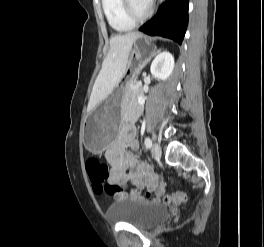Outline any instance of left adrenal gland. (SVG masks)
<instances>
[{"label": "left adrenal gland", "instance_id": "a2214340", "mask_svg": "<svg viewBox=\"0 0 264 247\" xmlns=\"http://www.w3.org/2000/svg\"><path fill=\"white\" fill-rule=\"evenodd\" d=\"M160 52V49H154L153 53L149 56V58L147 59V62L150 61V59L156 54V53H159Z\"/></svg>", "mask_w": 264, "mask_h": 247}]
</instances>
